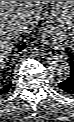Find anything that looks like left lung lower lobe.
Listing matches in <instances>:
<instances>
[{
  "instance_id": "obj_1",
  "label": "left lung lower lobe",
  "mask_w": 74,
  "mask_h": 122,
  "mask_svg": "<svg viewBox=\"0 0 74 122\" xmlns=\"http://www.w3.org/2000/svg\"><path fill=\"white\" fill-rule=\"evenodd\" d=\"M70 61V75L67 79L63 80L58 86L67 93L74 94V56H71Z\"/></svg>"
}]
</instances>
